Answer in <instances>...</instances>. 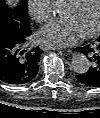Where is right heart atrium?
Returning a JSON list of instances; mask_svg holds the SVG:
<instances>
[{"mask_svg":"<svg viewBox=\"0 0 100 118\" xmlns=\"http://www.w3.org/2000/svg\"><path fill=\"white\" fill-rule=\"evenodd\" d=\"M28 11L38 23L47 21L52 16L51 0H28Z\"/></svg>","mask_w":100,"mask_h":118,"instance_id":"obj_1","label":"right heart atrium"}]
</instances>
